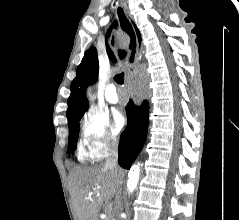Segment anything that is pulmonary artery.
Listing matches in <instances>:
<instances>
[{
  "label": "pulmonary artery",
  "instance_id": "e3ab8cb5",
  "mask_svg": "<svg viewBox=\"0 0 239 220\" xmlns=\"http://www.w3.org/2000/svg\"><path fill=\"white\" fill-rule=\"evenodd\" d=\"M105 97L109 103H117L119 101V95L114 84L111 83L107 86Z\"/></svg>",
  "mask_w": 239,
  "mask_h": 220
}]
</instances>
